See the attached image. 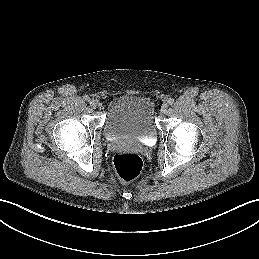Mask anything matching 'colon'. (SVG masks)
Instances as JSON below:
<instances>
[{
    "mask_svg": "<svg viewBox=\"0 0 259 259\" xmlns=\"http://www.w3.org/2000/svg\"><path fill=\"white\" fill-rule=\"evenodd\" d=\"M117 177L124 183L134 180L142 171V160L135 153H119L113 159Z\"/></svg>",
    "mask_w": 259,
    "mask_h": 259,
    "instance_id": "colon-1",
    "label": "colon"
}]
</instances>
